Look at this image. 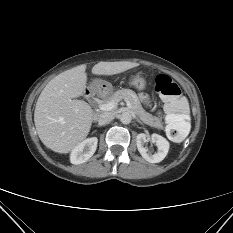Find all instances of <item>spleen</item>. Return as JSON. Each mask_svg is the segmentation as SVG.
I'll use <instances>...</instances> for the list:
<instances>
[{"label":"spleen","mask_w":233,"mask_h":233,"mask_svg":"<svg viewBox=\"0 0 233 233\" xmlns=\"http://www.w3.org/2000/svg\"><path fill=\"white\" fill-rule=\"evenodd\" d=\"M185 119H188V118L184 115H172L169 121L170 123H176V122L186 123Z\"/></svg>","instance_id":"3e777b00"}]
</instances>
